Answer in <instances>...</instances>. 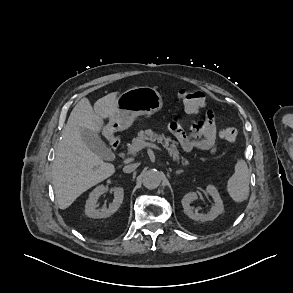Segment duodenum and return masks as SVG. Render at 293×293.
Returning a JSON list of instances; mask_svg holds the SVG:
<instances>
[{
    "instance_id": "obj_1",
    "label": "duodenum",
    "mask_w": 293,
    "mask_h": 293,
    "mask_svg": "<svg viewBox=\"0 0 293 293\" xmlns=\"http://www.w3.org/2000/svg\"><path fill=\"white\" fill-rule=\"evenodd\" d=\"M110 146L113 151H117L120 147V142L117 140H112Z\"/></svg>"
}]
</instances>
